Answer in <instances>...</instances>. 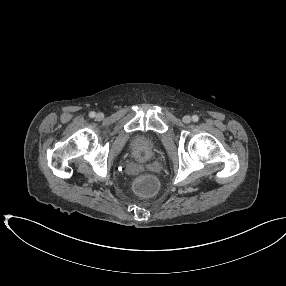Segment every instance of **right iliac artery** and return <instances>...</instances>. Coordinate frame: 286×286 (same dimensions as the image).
<instances>
[{
    "instance_id": "82829eb1",
    "label": "right iliac artery",
    "mask_w": 286,
    "mask_h": 286,
    "mask_svg": "<svg viewBox=\"0 0 286 286\" xmlns=\"http://www.w3.org/2000/svg\"><path fill=\"white\" fill-rule=\"evenodd\" d=\"M95 115H96L95 112H90V113H89V116H90L91 118L95 117Z\"/></svg>"
}]
</instances>
